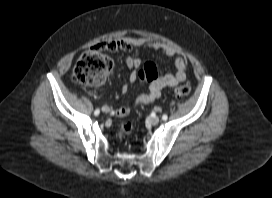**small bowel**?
I'll return each instance as SVG.
<instances>
[{
    "mask_svg": "<svg viewBox=\"0 0 272 198\" xmlns=\"http://www.w3.org/2000/svg\"><path fill=\"white\" fill-rule=\"evenodd\" d=\"M141 48H151L160 51L168 57L174 58L176 71L170 74L153 76L140 74L141 60L137 53L129 55L125 58V63L130 69L128 83L123 86L122 92L126 93L130 85L135 84L139 80H146L149 83L148 92L139 94L135 99V104L143 105L154 102L161 96L162 89L182 83L186 79L187 63L182 53L175 50L173 47L153 41L148 38H131L122 37L115 40H108L99 43L95 49H102L108 51H138ZM130 110L128 105L122 106L115 110L116 116H125Z\"/></svg>",
    "mask_w": 272,
    "mask_h": 198,
    "instance_id": "obj_1",
    "label": "small bowel"
}]
</instances>
